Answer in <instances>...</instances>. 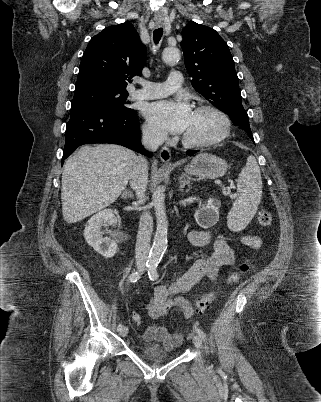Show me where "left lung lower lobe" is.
I'll list each match as a JSON object with an SVG mask.
<instances>
[{"instance_id": "obj_1", "label": "left lung lower lobe", "mask_w": 321, "mask_h": 402, "mask_svg": "<svg viewBox=\"0 0 321 402\" xmlns=\"http://www.w3.org/2000/svg\"><path fill=\"white\" fill-rule=\"evenodd\" d=\"M196 152H198V150H190V151H187V154L189 156H191V155L195 154Z\"/></svg>"}]
</instances>
